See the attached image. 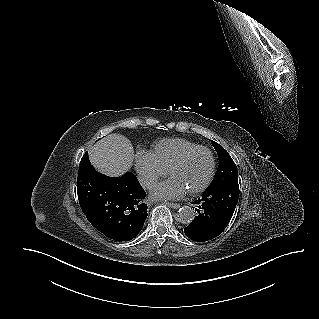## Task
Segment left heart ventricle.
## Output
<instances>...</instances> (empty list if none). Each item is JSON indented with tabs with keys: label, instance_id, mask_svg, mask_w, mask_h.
Listing matches in <instances>:
<instances>
[{
	"label": "left heart ventricle",
	"instance_id": "left-heart-ventricle-1",
	"mask_svg": "<svg viewBox=\"0 0 319 319\" xmlns=\"http://www.w3.org/2000/svg\"><path fill=\"white\" fill-rule=\"evenodd\" d=\"M210 166L211 161L208 153L200 151L173 170L171 177L178 180L188 191L204 182L210 171Z\"/></svg>",
	"mask_w": 319,
	"mask_h": 319
}]
</instances>
